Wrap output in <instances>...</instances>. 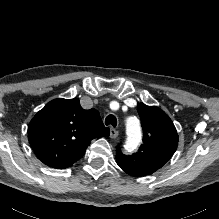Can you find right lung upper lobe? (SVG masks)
<instances>
[{
  "label": "right lung upper lobe",
  "mask_w": 219,
  "mask_h": 219,
  "mask_svg": "<svg viewBox=\"0 0 219 219\" xmlns=\"http://www.w3.org/2000/svg\"><path fill=\"white\" fill-rule=\"evenodd\" d=\"M109 135L97 110H85L79 99L50 101L31 120L28 140L45 165L65 169L79 160L95 138Z\"/></svg>",
  "instance_id": "cb5924a9"
}]
</instances>
